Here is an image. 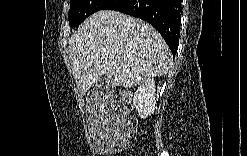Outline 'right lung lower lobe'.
<instances>
[{"instance_id": "right-lung-lower-lobe-1", "label": "right lung lower lobe", "mask_w": 247, "mask_h": 156, "mask_svg": "<svg viewBox=\"0 0 247 156\" xmlns=\"http://www.w3.org/2000/svg\"><path fill=\"white\" fill-rule=\"evenodd\" d=\"M100 10H115L149 22L162 35L172 54L179 43L180 0H108Z\"/></svg>"}]
</instances>
